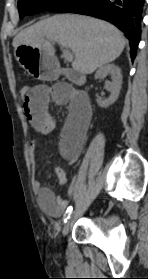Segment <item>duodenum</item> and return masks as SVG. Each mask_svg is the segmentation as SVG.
<instances>
[{
  "label": "duodenum",
  "mask_w": 148,
  "mask_h": 279,
  "mask_svg": "<svg viewBox=\"0 0 148 279\" xmlns=\"http://www.w3.org/2000/svg\"><path fill=\"white\" fill-rule=\"evenodd\" d=\"M61 75L67 77L68 80L72 81V82H76V83L84 82V77L81 73L74 71L72 69H69V68H64L61 72Z\"/></svg>",
  "instance_id": "obj_1"
}]
</instances>
